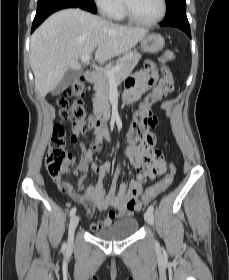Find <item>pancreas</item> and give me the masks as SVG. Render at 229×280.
<instances>
[{"instance_id":"pancreas-1","label":"pancreas","mask_w":229,"mask_h":280,"mask_svg":"<svg viewBox=\"0 0 229 280\" xmlns=\"http://www.w3.org/2000/svg\"><path fill=\"white\" fill-rule=\"evenodd\" d=\"M140 58V53L136 51L128 52L123 57L116 60L114 64L108 65L106 70L121 66V69L115 73V80L121 81L132 72ZM109 80V77L102 71L96 74L94 82V90L96 91V94L93 98V104L98 113L109 112Z\"/></svg>"}]
</instances>
